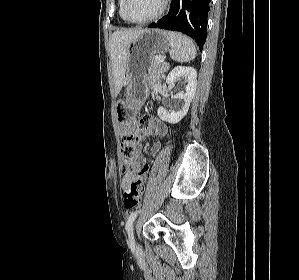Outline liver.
Instances as JSON below:
<instances>
[{
	"label": "liver",
	"instance_id": "liver-1",
	"mask_svg": "<svg viewBox=\"0 0 299 280\" xmlns=\"http://www.w3.org/2000/svg\"><path fill=\"white\" fill-rule=\"evenodd\" d=\"M144 29L117 30L110 38V58L114 75V95L117 96L125 83L127 49Z\"/></svg>",
	"mask_w": 299,
	"mask_h": 280
}]
</instances>
